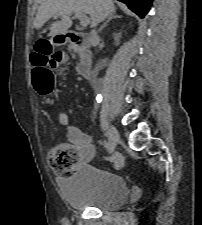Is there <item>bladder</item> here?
Returning a JSON list of instances; mask_svg holds the SVG:
<instances>
[{
    "instance_id": "31cf9c89",
    "label": "bladder",
    "mask_w": 202,
    "mask_h": 225,
    "mask_svg": "<svg viewBox=\"0 0 202 225\" xmlns=\"http://www.w3.org/2000/svg\"><path fill=\"white\" fill-rule=\"evenodd\" d=\"M63 197L74 209L116 211L128 200L127 181L111 170L83 165L61 181Z\"/></svg>"
}]
</instances>
